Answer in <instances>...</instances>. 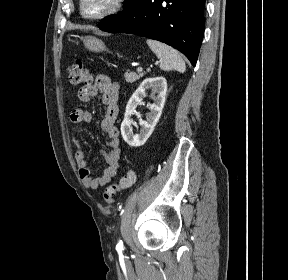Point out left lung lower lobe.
<instances>
[{
  "label": "left lung lower lobe",
  "instance_id": "1",
  "mask_svg": "<svg viewBox=\"0 0 288 280\" xmlns=\"http://www.w3.org/2000/svg\"><path fill=\"white\" fill-rule=\"evenodd\" d=\"M205 0H135L98 27L111 33H131L164 42L196 65L204 34Z\"/></svg>",
  "mask_w": 288,
  "mask_h": 280
}]
</instances>
